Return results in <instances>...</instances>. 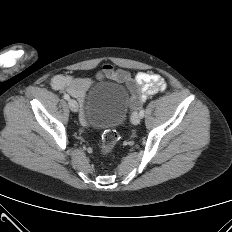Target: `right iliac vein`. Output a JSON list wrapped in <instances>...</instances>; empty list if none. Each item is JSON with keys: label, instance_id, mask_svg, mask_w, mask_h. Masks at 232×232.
<instances>
[{"label": "right iliac vein", "instance_id": "right-iliac-vein-1", "mask_svg": "<svg viewBox=\"0 0 232 232\" xmlns=\"http://www.w3.org/2000/svg\"><path fill=\"white\" fill-rule=\"evenodd\" d=\"M68 104H69V107H70L71 111H73V112L78 111V103L76 102V100L70 99L68 101Z\"/></svg>", "mask_w": 232, "mask_h": 232}]
</instances>
